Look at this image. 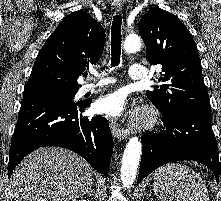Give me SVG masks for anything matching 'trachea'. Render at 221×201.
I'll return each mask as SVG.
<instances>
[{
	"mask_svg": "<svg viewBox=\"0 0 221 201\" xmlns=\"http://www.w3.org/2000/svg\"><path fill=\"white\" fill-rule=\"evenodd\" d=\"M121 15H115L111 26V66L120 64L121 57Z\"/></svg>",
	"mask_w": 221,
	"mask_h": 201,
	"instance_id": "1",
	"label": "trachea"
}]
</instances>
